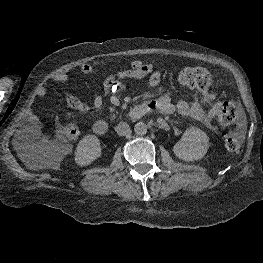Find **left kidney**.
Listing matches in <instances>:
<instances>
[{
    "instance_id": "left-kidney-1",
    "label": "left kidney",
    "mask_w": 263,
    "mask_h": 263,
    "mask_svg": "<svg viewBox=\"0 0 263 263\" xmlns=\"http://www.w3.org/2000/svg\"><path fill=\"white\" fill-rule=\"evenodd\" d=\"M209 137L199 128H188L181 140L177 142L173 151L175 155L184 161L202 159L209 148Z\"/></svg>"
}]
</instances>
